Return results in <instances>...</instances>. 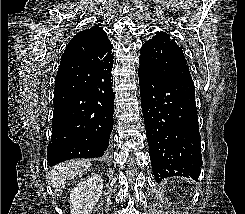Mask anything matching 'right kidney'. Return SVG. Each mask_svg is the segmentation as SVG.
<instances>
[{"mask_svg":"<svg viewBox=\"0 0 245 214\" xmlns=\"http://www.w3.org/2000/svg\"><path fill=\"white\" fill-rule=\"evenodd\" d=\"M103 190V179L98 174L80 181L70 194L71 214H90Z\"/></svg>","mask_w":245,"mask_h":214,"instance_id":"obj_1","label":"right kidney"}]
</instances>
